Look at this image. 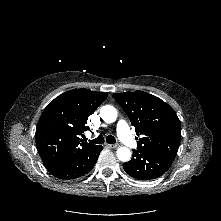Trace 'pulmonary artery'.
I'll use <instances>...</instances> for the list:
<instances>
[{"instance_id":"e3ab8cb5","label":"pulmonary artery","mask_w":221,"mask_h":221,"mask_svg":"<svg viewBox=\"0 0 221 221\" xmlns=\"http://www.w3.org/2000/svg\"><path fill=\"white\" fill-rule=\"evenodd\" d=\"M117 133L119 138L129 147H136L137 141L131 136L127 123L120 120L117 123Z\"/></svg>"}]
</instances>
